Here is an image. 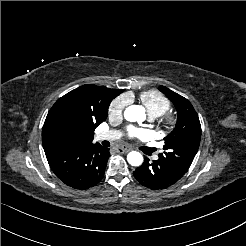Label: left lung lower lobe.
I'll use <instances>...</instances> for the list:
<instances>
[{"label": "left lung lower lobe", "mask_w": 246, "mask_h": 246, "mask_svg": "<svg viewBox=\"0 0 246 246\" xmlns=\"http://www.w3.org/2000/svg\"><path fill=\"white\" fill-rule=\"evenodd\" d=\"M137 181L152 190L164 189L175 184L182 176L175 168L158 159L150 162L148 158L133 172Z\"/></svg>", "instance_id": "left-lung-lower-lobe-1"}]
</instances>
